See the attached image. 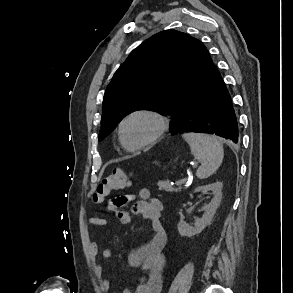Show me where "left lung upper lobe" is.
I'll list each match as a JSON object with an SVG mask.
<instances>
[{
  "mask_svg": "<svg viewBox=\"0 0 293 293\" xmlns=\"http://www.w3.org/2000/svg\"><path fill=\"white\" fill-rule=\"evenodd\" d=\"M213 61L199 40L161 31L144 41L115 72L103 98L99 140L131 112L160 110L181 120L184 105L207 82Z\"/></svg>",
  "mask_w": 293,
  "mask_h": 293,
  "instance_id": "1",
  "label": "left lung upper lobe"
}]
</instances>
